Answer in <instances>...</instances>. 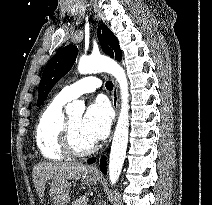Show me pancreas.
Masks as SVG:
<instances>
[{
    "label": "pancreas",
    "instance_id": "cf45deb5",
    "mask_svg": "<svg viewBox=\"0 0 212 205\" xmlns=\"http://www.w3.org/2000/svg\"><path fill=\"white\" fill-rule=\"evenodd\" d=\"M88 198L85 196L80 197L79 199L75 200L72 205H87Z\"/></svg>",
    "mask_w": 212,
    "mask_h": 205
}]
</instances>
